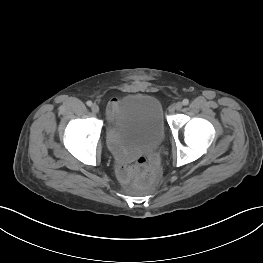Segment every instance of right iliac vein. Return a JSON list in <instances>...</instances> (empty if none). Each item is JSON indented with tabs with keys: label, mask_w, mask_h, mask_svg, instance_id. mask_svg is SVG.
<instances>
[{
	"label": "right iliac vein",
	"mask_w": 263,
	"mask_h": 263,
	"mask_svg": "<svg viewBox=\"0 0 263 263\" xmlns=\"http://www.w3.org/2000/svg\"><path fill=\"white\" fill-rule=\"evenodd\" d=\"M91 109H92L93 113H98L99 112V106L97 104H93Z\"/></svg>",
	"instance_id": "right-iliac-vein-1"
}]
</instances>
